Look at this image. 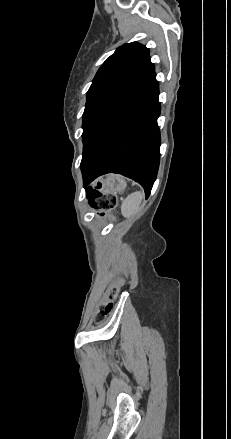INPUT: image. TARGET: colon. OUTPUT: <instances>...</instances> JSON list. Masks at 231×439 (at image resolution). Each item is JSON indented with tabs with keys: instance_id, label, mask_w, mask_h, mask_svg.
<instances>
[{
	"instance_id": "colon-1",
	"label": "colon",
	"mask_w": 231,
	"mask_h": 439,
	"mask_svg": "<svg viewBox=\"0 0 231 439\" xmlns=\"http://www.w3.org/2000/svg\"><path fill=\"white\" fill-rule=\"evenodd\" d=\"M90 204L98 209L100 212H109L116 207L117 198L112 194H104L100 192L90 193ZM119 295V289L117 286H112L108 292V302L102 304L99 309V314L96 318L97 321L102 320L111 311V302L114 301Z\"/></svg>"
}]
</instances>
